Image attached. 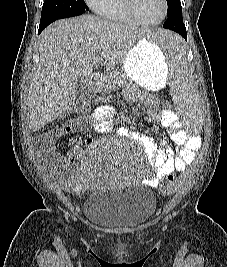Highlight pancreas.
<instances>
[{
  "mask_svg": "<svg viewBox=\"0 0 227 267\" xmlns=\"http://www.w3.org/2000/svg\"><path fill=\"white\" fill-rule=\"evenodd\" d=\"M132 82L127 78V76L121 71H113L109 75L106 76L104 80V91L110 92L116 85H128Z\"/></svg>",
  "mask_w": 227,
  "mask_h": 267,
  "instance_id": "obj_1",
  "label": "pancreas"
}]
</instances>
